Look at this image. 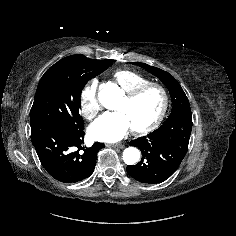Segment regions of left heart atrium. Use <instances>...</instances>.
<instances>
[{
  "mask_svg": "<svg viewBox=\"0 0 236 236\" xmlns=\"http://www.w3.org/2000/svg\"><path fill=\"white\" fill-rule=\"evenodd\" d=\"M131 123L124 112H106L89 127V135L97 141L116 142L131 129Z\"/></svg>",
  "mask_w": 236,
  "mask_h": 236,
  "instance_id": "left-heart-atrium-1",
  "label": "left heart atrium"
}]
</instances>
